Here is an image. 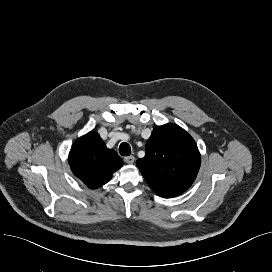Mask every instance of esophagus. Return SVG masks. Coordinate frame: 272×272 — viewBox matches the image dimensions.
Returning <instances> with one entry per match:
<instances>
[{"instance_id":"esophagus-1","label":"esophagus","mask_w":272,"mask_h":272,"mask_svg":"<svg viewBox=\"0 0 272 272\" xmlns=\"http://www.w3.org/2000/svg\"><path fill=\"white\" fill-rule=\"evenodd\" d=\"M125 162L128 163V164H132L134 163L135 161V157L134 156H128V157H125Z\"/></svg>"}]
</instances>
